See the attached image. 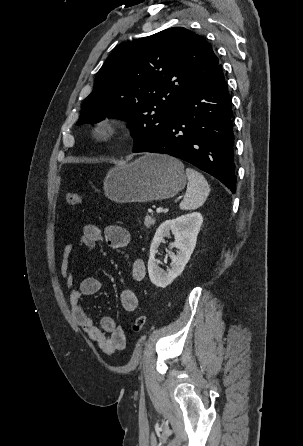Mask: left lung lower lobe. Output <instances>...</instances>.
Returning <instances> with one entry per match:
<instances>
[{
    "label": "left lung lower lobe",
    "instance_id": "0a47b994",
    "mask_svg": "<svg viewBox=\"0 0 303 446\" xmlns=\"http://www.w3.org/2000/svg\"><path fill=\"white\" fill-rule=\"evenodd\" d=\"M232 109L220 64L176 107L160 135L135 152L187 161L236 191Z\"/></svg>",
    "mask_w": 303,
    "mask_h": 446
}]
</instances>
